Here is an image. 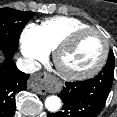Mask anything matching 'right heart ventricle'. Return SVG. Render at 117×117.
<instances>
[{
    "mask_svg": "<svg viewBox=\"0 0 117 117\" xmlns=\"http://www.w3.org/2000/svg\"><path fill=\"white\" fill-rule=\"evenodd\" d=\"M91 27L87 23L74 17L57 16L44 20L39 26V36L44 46L55 50L57 45L72 31Z\"/></svg>",
    "mask_w": 117,
    "mask_h": 117,
    "instance_id": "1",
    "label": "right heart ventricle"
}]
</instances>
